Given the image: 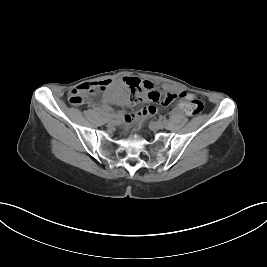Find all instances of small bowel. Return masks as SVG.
<instances>
[{"label": "small bowel", "mask_w": 267, "mask_h": 267, "mask_svg": "<svg viewBox=\"0 0 267 267\" xmlns=\"http://www.w3.org/2000/svg\"><path fill=\"white\" fill-rule=\"evenodd\" d=\"M101 83H106V85L108 84L107 81L91 82V83H88V84L90 85V88L92 90H97V89H100V84ZM164 89L171 90L168 86H164ZM171 91H173V93H175V95H179V96H182L183 94H185V92H183V91H181L179 89L171 90ZM110 97H111L112 101L116 102L119 105H127L128 104L127 103L126 94H125V92L123 90L114 91L111 94ZM98 109L103 110L105 112H108L110 110V107L106 103H103V104L99 105ZM181 110H183V104L182 103L178 104L174 108L175 112H180ZM155 113H156V108L154 106H146V107H143L142 109H140L136 113L124 114V115H122V118L126 123H131V122H133L134 120H136L138 118H143V117H146V116H150V115H153Z\"/></svg>", "instance_id": "small-bowel-1"}]
</instances>
